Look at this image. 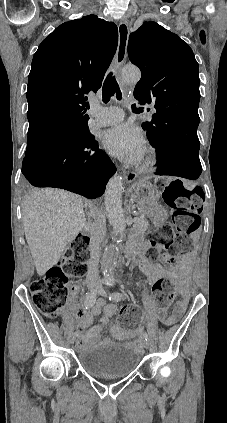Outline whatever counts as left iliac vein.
Instances as JSON below:
<instances>
[{
    "label": "left iliac vein",
    "mask_w": 227,
    "mask_h": 423,
    "mask_svg": "<svg viewBox=\"0 0 227 423\" xmlns=\"http://www.w3.org/2000/svg\"><path fill=\"white\" fill-rule=\"evenodd\" d=\"M97 294H100L105 297L107 296L106 292L103 289H98ZM144 346L148 349L150 347L149 341H144Z\"/></svg>",
    "instance_id": "1"
}]
</instances>
